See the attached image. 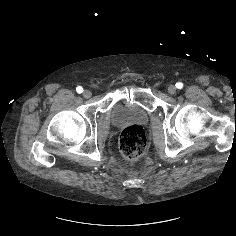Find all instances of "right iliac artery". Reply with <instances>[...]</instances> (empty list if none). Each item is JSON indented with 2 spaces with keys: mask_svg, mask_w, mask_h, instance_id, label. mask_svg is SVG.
Listing matches in <instances>:
<instances>
[{
  "mask_svg": "<svg viewBox=\"0 0 236 236\" xmlns=\"http://www.w3.org/2000/svg\"><path fill=\"white\" fill-rule=\"evenodd\" d=\"M76 91L80 94V93L83 92V88H82L81 86H78V87L76 88Z\"/></svg>",
  "mask_w": 236,
  "mask_h": 236,
  "instance_id": "obj_1",
  "label": "right iliac artery"
}]
</instances>
